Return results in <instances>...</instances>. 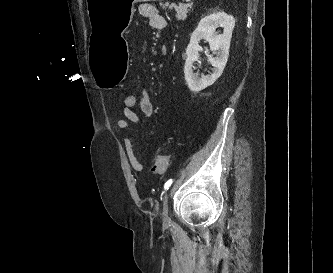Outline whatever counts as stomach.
I'll return each instance as SVG.
<instances>
[{"label":"stomach","instance_id":"stomach-1","mask_svg":"<svg viewBox=\"0 0 333 273\" xmlns=\"http://www.w3.org/2000/svg\"><path fill=\"white\" fill-rule=\"evenodd\" d=\"M161 0H87L91 31L88 56H92L91 70L98 86L111 89L124 81L129 70V49L122 38L133 19L134 4Z\"/></svg>","mask_w":333,"mask_h":273}]
</instances>
